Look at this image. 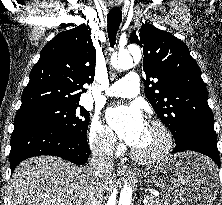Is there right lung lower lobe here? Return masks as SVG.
<instances>
[{
	"mask_svg": "<svg viewBox=\"0 0 222 205\" xmlns=\"http://www.w3.org/2000/svg\"><path fill=\"white\" fill-rule=\"evenodd\" d=\"M89 154L86 137L41 122L14 123L9 155L11 173L20 162L34 156L53 155L81 165L87 162Z\"/></svg>",
	"mask_w": 222,
	"mask_h": 205,
	"instance_id": "98d812e1",
	"label": "right lung lower lobe"
}]
</instances>
